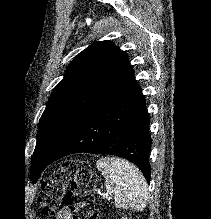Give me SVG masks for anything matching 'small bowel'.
Wrapping results in <instances>:
<instances>
[{
  "instance_id": "obj_1",
  "label": "small bowel",
  "mask_w": 211,
  "mask_h": 219,
  "mask_svg": "<svg viewBox=\"0 0 211 219\" xmlns=\"http://www.w3.org/2000/svg\"><path fill=\"white\" fill-rule=\"evenodd\" d=\"M57 219H71V215L68 209L61 210L58 215Z\"/></svg>"
}]
</instances>
